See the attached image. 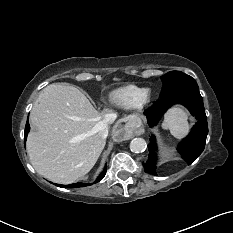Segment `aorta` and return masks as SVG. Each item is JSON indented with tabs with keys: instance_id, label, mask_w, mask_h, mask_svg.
Listing matches in <instances>:
<instances>
[{
	"instance_id": "1",
	"label": "aorta",
	"mask_w": 233,
	"mask_h": 233,
	"mask_svg": "<svg viewBox=\"0 0 233 233\" xmlns=\"http://www.w3.org/2000/svg\"><path fill=\"white\" fill-rule=\"evenodd\" d=\"M147 148V143L143 138H134L130 142V150L133 153H141L144 152Z\"/></svg>"
}]
</instances>
